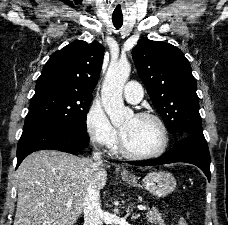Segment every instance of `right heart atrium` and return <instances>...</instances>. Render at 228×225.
Returning <instances> with one entry per match:
<instances>
[{
    "label": "right heart atrium",
    "mask_w": 228,
    "mask_h": 225,
    "mask_svg": "<svg viewBox=\"0 0 228 225\" xmlns=\"http://www.w3.org/2000/svg\"><path fill=\"white\" fill-rule=\"evenodd\" d=\"M84 124L87 135L97 146L112 147L117 143L120 134L98 103H93L88 108Z\"/></svg>",
    "instance_id": "obj_1"
}]
</instances>
